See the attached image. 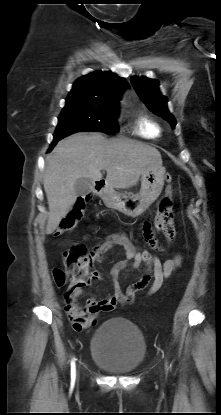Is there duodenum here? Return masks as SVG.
Returning a JSON list of instances; mask_svg holds the SVG:
<instances>
[{
  "instance_id": "obj_1",
  "label": "duodenum",
  "mask_w": 221,
  "mask_h": 415,
  "mask_svg": "<svg viewBox=\"0 0 221 415\" xmlns=\"http://www.w3.org/2000/svg\"><path fill=\"white\" fill-rule=\"evenodd\" d=\"M106 183L104 180H98L94 183V193L97 195H102L106 191Z\"/></svg>"
}]
</instances>
